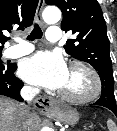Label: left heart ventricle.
Masks as SVG:
<instances>
[{"label": "left heart ventricle", "instance_id": "obj_1", "mask_svg": "<svg viewBox=\"0 0 117 131\" xmlns=\"http://www.w3.org/2000/svg\"><path fill=\"white\" fill-rule=\"evenodd\" d=\"M90 79L85 72L80 69H68L66 80L61 91L73 94L82 95L89 91Z\"/></svg>", "mask_w": 117, "mask_h": 131}]
</instances>
